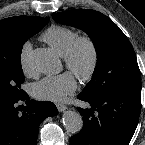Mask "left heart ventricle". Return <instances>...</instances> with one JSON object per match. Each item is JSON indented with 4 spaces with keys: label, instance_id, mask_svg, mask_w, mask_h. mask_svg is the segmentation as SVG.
<instances>
[{
    "label": "left heart ventricle",
    "instance_id": "obj_1",
    "mask_svg": "<svg viewBox=\"0 0 145 145\" xmlns=\"http://www.w3.org/2000/svg\"><path fill=\"white\" fill-rule=\"evenodd\" d=\"M88 64V54L86 51H83V53L80 56L79 60V69L84 70Z\"/></svg>",
    "mask_w": 145,
    "mask_h": 145
}]
</instances>
